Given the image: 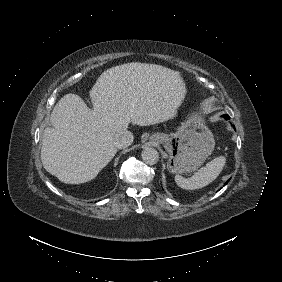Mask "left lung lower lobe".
<instances>
[{
	"instance_id": "left-lung-lower-lobe-1",
	"label": "left lung lower lobe",
	"mask_w": 282,
	"mask_h": 282,
	"mask_svg": "<svg viewBox=\"0 0 282 282\" xmlns=\"http://www.w3.org/2000/svg\"><path fill=\"white\" fill-rule=\"evenodd\" d=\"M223 117H224L225 119H229V118H230L229 115H227V114H224ZM225 184H226V183H225Z\"/></svg>"
}]
</instances>
